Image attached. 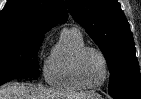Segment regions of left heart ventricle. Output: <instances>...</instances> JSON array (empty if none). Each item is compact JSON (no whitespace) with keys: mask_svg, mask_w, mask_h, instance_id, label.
Returning <instances> with one entry per match:
<instances>
[{"mask_svg":"<svg viewBox=\"0 0 141 99\" xmlns=\"http://www.w3.org/2000/svg\"><path fill=\"white\" fill-rule=\"evenodd\" d=\"M81 71L84 80L91 85L102 82L105 75L104 63L101 57L95 52H88L81 64Z\"/></svg>","mask_w":141,"mask_h":99,"instance_id":"obj_1","label":"left heart ventricle"}]
</instances>
